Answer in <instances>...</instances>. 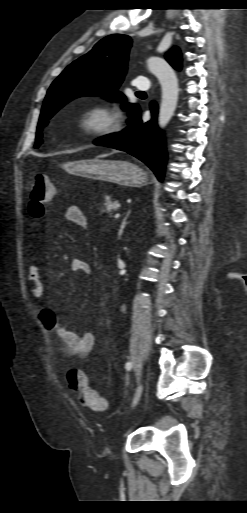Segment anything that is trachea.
<instances>
[{
	"instance_id": "3493384b",
	"label": "trachea",
	"mask_w": 247,
	"mask_h": 513,
	"mask_svg": "<svg viewBox=\"0 0 247 513\" xmlns=\"http://www.w3.org/2000/svg\"><path fill=\"white\" fill-rule=\"evenodd\" d=\"M137 93L138 94H144V92H141V91H138ZM245 280H247V277L245 278Z\"/></svg>"
}]
</instances>
